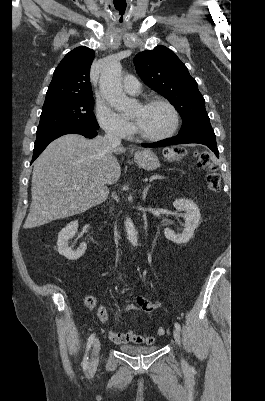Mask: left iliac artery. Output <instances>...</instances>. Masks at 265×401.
I'll return each instance as SVG.
<instances>
[{"label": "left iliac artery", "mask_w": 265, "mask_h": 401, "mask_svg": "<svg viewBox=\"0 0 265 401\" xmlns=\"http://www.w3.org/2000/svg\"><path fill=\"white\" fill-rule=\"evenodd\" d=\"M174 326L178 331L181 330V326H180V324L178 322H175Z\"/></svg>", "instance_id": "obj_1"}]
</instances>
